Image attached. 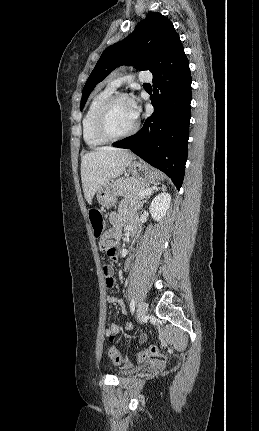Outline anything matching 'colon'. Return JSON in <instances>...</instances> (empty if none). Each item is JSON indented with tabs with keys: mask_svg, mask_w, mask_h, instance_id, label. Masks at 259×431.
<instances>
[{
	"mask_svg": "<svg viewBox=\"0 0 259 431\" xmlns=\"http://www.w3.org/2000/svg\"><path fill=\"white\" fill-rule=\"evenodd\" d=\"M88 215H89V221H90L93 233L96 238L100 239L99 248L101 252L104 254V256L107 259L114 261L117 258V249L109 239L105 238V233H104L105 222L101 211L93 208L89 210ZM114 336L115 334H112L109 336L111 341L114 339ZM108 353L110 358L116 365L125 366V365H129L132 361L128 357H123L113 346L110 347ZM162 356H163L162 351L157 346L151 345L146 349H144L143 351H141L140 353H138L137 356L135 357V360L140 362L150 358L162 357Z\"/></svg>",
	"mask_w": 259,
	"mask_h": 431,
	"instance_id": "obj_1",
	"label": "colon"
}]
</instances>
